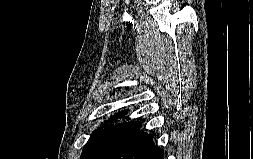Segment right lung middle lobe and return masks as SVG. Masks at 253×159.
<instances>
[{"mask_svg": "<svg viewBox=\"0 0 253 159\" xmlns=\"http://www.w3.org/2000/svg\"><path fill=\"white\" fill-rule=\"evenodd\" d=\"M122 116V114H120ZM117 117H112L111 120ZM141 125V122H128L116 126H108L105 129L95 131L81 154V159H94L105 149L123 138Z\"/></svg>", "mask_w": 253, "mask_h": 159, "instance_id": "dd1d6c3e", "label": "right lung middle lobe"}]
</instances>
